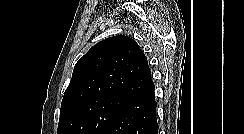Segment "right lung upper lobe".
I'll use <instances>...</instances> for the list:
<instances>
[{"label": "right lung upper lobe", "mask_w": 244, "mask_h": 134, "mask_svg": "<svg viewBox=\"0 0 244 134\" xmlns=\"http://www.w3.org/2000/svg\"><path fill=\"white\" fill-rule=\"evenodd\" d=\"M154 89L147 58L130 37L117 35L94 45L75 65L60 119L78 105L104 97H135Z\"/></svg>", "instance_id": "obj_1"}]
</instances>
